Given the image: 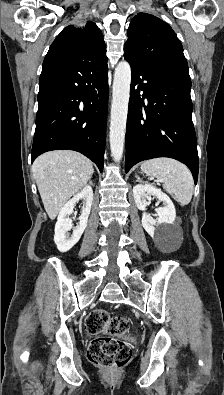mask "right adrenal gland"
Returning <instances> with one entry per match:
<instances>
[{"mask_svg":"<svg viewBox=\"0 0 224 395\" xmlns=\"http://www.w3.org/2000/svg\"><path fill=\"white\" fill-rule=\"evenodd\" d=\"M89 183H90L91 185H93V183H92V180H91V179L89 180Z\"/></svg>","mask_w":224,"mask_h":395,"instance_id":"obj_1","label":"right adrenal gland"}]
</instances>
